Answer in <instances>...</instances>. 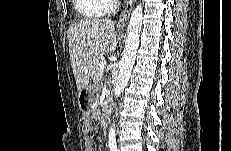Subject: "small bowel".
Wrapping results in <instances>:
<instances>
[{
  "instance_id": "obj_1",
  "label": "small bowel",
  "mask_w": 231,
  "mask_h": 151,
  "mask_svg": "<svg viewBox=\"0 0 231 151\" xmlns=\"http://www.w3.org/2000/svg\"><path fill=\"white\" fill-rule=\"evenodd\" d=\"M92 119H86L83 124L85 151H94L93 141L90 136Z\"/></svg>"
}]
</instances>
